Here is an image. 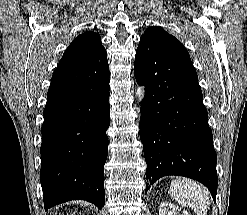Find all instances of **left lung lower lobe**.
<instances>
[{
    "instance_id": "0a47b994",
    "label": "left lung lower lobe",
    "mask_w": 247,
    "mask_h": 215,
    "mask_svg": "<svg viewBox=\"0 0 247 215\" xmlns=\"http://www.w3.org/2000/svg\"><path fill=\"white\" fill-rule=\"evenodd\" d=\"M134 74L145 86L139 124L145 192L159 178L177 175L203 183L215 201L217 156L190 56L140 41Z\"/></svg>"
}]
</instances>
